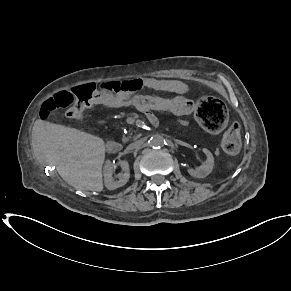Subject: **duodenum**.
<instances>
[{
    "label": "duodenum",
    "instance_id": "obj_1",
    "mask_svg": "<svg viewBox=\"0 0 291 291\" xmlns=\"http://www.w3.org/2000/svg\"><path fill=\"white\" fill-rule=\"evenodd\" d=\"M122 148L121 144L115 141H109L106 144V149L108 152L117 153Z\"/></svg>",
    "mask_w": 291,
    "mask_h": 291
}]
</instances>
